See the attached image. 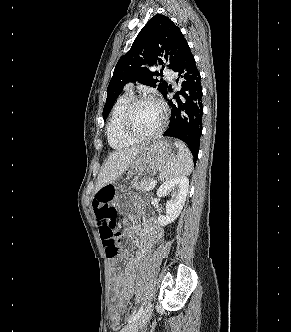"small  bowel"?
I'll use <instances>...</instances> for the list:
<instances>
[{
  "mask_svg": "<svg viewBox=\"0 0 291 332\" xmlns=\"http://www.w3.org/2000/svg\"><path fill=\"white\" fill-rule=\"evenodd\" d=\"M103 190L114 192L111 185H104L97 193ZM93 207L96 215L94 201ZM135 235L139 236L138 241H136ZM161 236L162 231L158 224L153 220L146 221L141 230H136L132 226H126L121 234L119 241L122 248L119 256L123 259H128V264L125 271L119 273L114 278L111 296L112 301H114L119 308L126 307L128 301L132 298L135 290L137 266L139 262L155 247ZM126 245H136V253L131 256Z\"/></svg>",
  "mask_w": 291,
  "mask_h": 332,
  "instance_id": "1",
  "label": "small bowel"
}]
</instances>
